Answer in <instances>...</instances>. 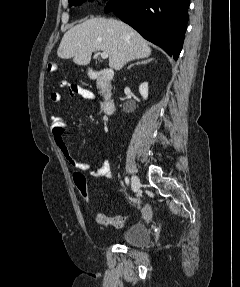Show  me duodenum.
<instances>
[{
    "label": "duodenum",
    "mask_w": 240,
    "mask_h": 287,
    "mask_svg": "<svg viewBox=\"0 0 240 287\" xmlns=\"http://www.w3.org/2000/svg\"><path fill=\"white\" fill-rule=\"evenodd\" d=\"M92 79L100 82L101 85L107 84L112 78V72L109 69L102 68L98 71H93L90 74ZM115 108V101L110 94H105L103 100V109L106 114H112Z\"/></svg>",
    "instance_id": "obj_1"
}]
</instances>
